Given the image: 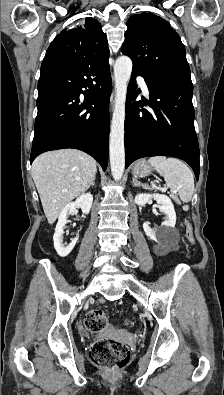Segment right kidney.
<instances>
[{
  "instance_id": "right-kidney-1",
  "label": "right kidney",
  "mask_w": 224,
  "mask_h": 395,
  "mask_svg": "<svg viewBox=\"0 0 224 395\" xmlns=\"http://www.w3.org/2000/svg\"><path fill=\"white\" fill-rule=\"evenodd\" d=\"M93 195L89 193H84L79 196L74 202L68 203L61 211L58 217V223L55 228V233L53 235L54 248L57 254L61 257H66L75 247L78 237L73 239L67 246H64L62 242V237L64 233V226L67 223V218L70 214L76 211V208H81L83 214H88L92 207Z\"/></svg>"
}]
</instances>
